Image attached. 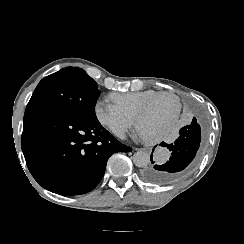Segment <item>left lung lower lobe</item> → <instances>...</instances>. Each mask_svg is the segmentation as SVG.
<instances>
[{"mask_svg": "<svg viewBox=\"0 0 244 244\" xmlns=\"http://www.w3.org/2000/svg\"><path fill=\"white\" fill-rule=\"evenodd\" d=\"M201 142V128L194 117L192 123L180 129V136L173 144L160 145L171 151V157L163 165L151 164L141 171L142 179L150 184L167 186L181 181L192 169Z\"/></svg>", "mask_w": 244, "mask_h": 244, "instance_id": "left-lung-lower-lobe-1", "label": "left lung lower lobe"}]
</instances>
